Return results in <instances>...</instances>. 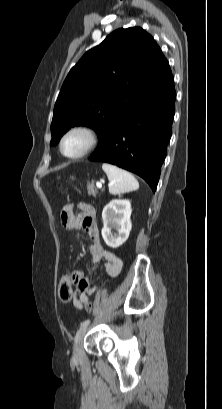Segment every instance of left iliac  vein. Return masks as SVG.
<instances>
[{
	"label": "left iliac vein",
	"mask_w": 222,
	"mask_h": 409,
	"mask_svg": "<svg viewBox=\"0 0 222 409\" xmlns=\"http://www.w3.org/2000/svg\"><path fill=\"white\" fill-rule=\"evenodd\" d=\"M88 330V326L81 327L75 336V345H74V358L77 359L81 355V347L83 338Z\"/></svg>",
	"instance_id": "obj_1"
}]
</instances>
